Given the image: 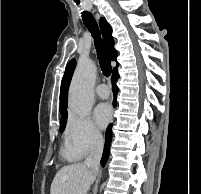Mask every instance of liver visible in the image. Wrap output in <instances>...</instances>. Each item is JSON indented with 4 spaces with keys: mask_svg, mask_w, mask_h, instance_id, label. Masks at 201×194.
Returning a JSON list of instances; mask_svg holds the SVG:
<instances>
[{
    "mask_svg": "<svg viewBox=\"0 0 201 194\" xmlns=\"http://www.w3.org/2000/svg\"><path fill=\"white\" fill-rule=\"evenodd\" d=\"M96 173L84 163L66 165L56 173L50 194H87Z\"/></svg>",
    "mask_w": 201,
    "mask_h": 194,
    "instance_id": "obj_1",
    "label": "liver"
}]
</instances>
